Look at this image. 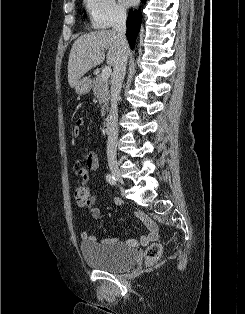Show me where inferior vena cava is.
<instances>
[{"label": "inferior vena cava", "mask_w": 245, "mask_h": 314, "mask_svg": "<svg viewBox=\"0 0 245 314\" xmlns=\"http://www.w3.org/2000/svg\"><path fill=\"white\" fill-rule=\"evenodd\" d=\"M127 15L124 10L118 11L115 16L113 31L116 33L120 48L117 60L114 64L111 85V110L110 126L107 141L108 161H116L117 139H118V108L117 101L122 88V83L126 73V65L129 55V46L125 37Z\"/></svg>", "instance_id": "1"}]
</instances>
